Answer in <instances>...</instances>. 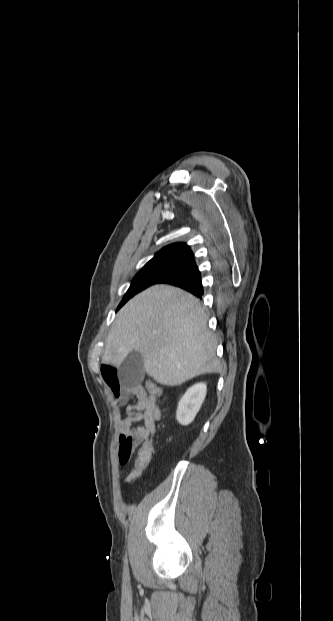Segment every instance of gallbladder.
<instances>
[{
  "mask_svg": "<svg viewBox=\"0 0 333 621\" xmlns=\"http://www.w3.org/2000/svg\"><path fill=\"white\" fill-rule=\"evenodd\" d=\"M145 369L142 355L132 351L118 369V379L126 387H132L144 379Z\"/></svg>",
  "mask_w": 333,
  "mask_h": 621,
  "instance_id": "gallbladder-1",
  "label": "gallbladder"
}]
</instances>
